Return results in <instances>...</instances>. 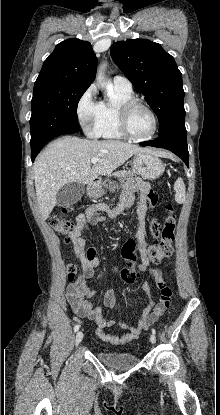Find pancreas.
<instances>
[{
  "label": "pancreas",
  "mask_w": 220,
  "mask_h": 415,
  "mask_svg": "<svg viewBox=\"0 0 220 415\" xmlns=\"http://www.w3.org/2000/svg\"><path fill=\"white\" fill-rule=\"evenodd\" d=\"M113 176L119 178L121 181H123V179L126 176V172L125 171H117L113 174Z\"/></svg>",
  "instance_id": "1"
}]
</instances>
